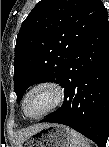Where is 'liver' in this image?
Returning <instances> with one entry per match:
<instances>
[{
    "instance_id": "6515ba94",
    "label": "liver",
    "mask_w": 109,
    "mask_h": 147,
    "mask_svg": "<svg viewBox=\"0 0 109 147\" xmlns=\"http://www.w3.org/2000/svg\"><path fill=\"white\" fill-rule=\"evenodd\" d=\"M46 125H48V124H46V123L37 124V125H34V126L29 127V128L21 130L18 134V140L21 142L24 138H27L30 135L36 133L37 131H39L40 129H42Z\"/></svg>"
}]
</instances>
